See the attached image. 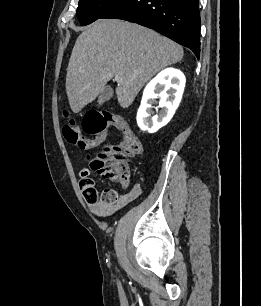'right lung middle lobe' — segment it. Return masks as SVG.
I'll return each instance as SVG.
<instances>
[{
  "mask_svg": "<svg viewBox=\"0 0 261 306\" xmlns=\"http://www.w3.org/2000/svg\"><path fill=\"white\" fill-rule=\"evenodd\" d=\"M117 0H79L77 17L81 25L97 20Z\"/></svg>",
  "mask_w": 261,
  "mask_h": 306,
  "instance_id": "dd1d6c3e",
  "label": "right lung middle lobe"
}]
</instances>
